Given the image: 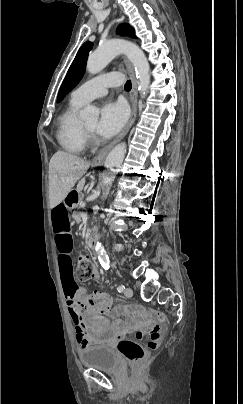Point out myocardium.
Returning <instances> with one entry per match:
<instances>
[{
	"mask_svg": "<svg viewBox=\"0 0 243 404\" xmlns=\"http://www.w3.org/2000/svg\"><path fill=\"white\" fill-rule=\"evenodd\" d=\"M97 34H99V33H97ZM104 43H105V41L102 40V43H101V44L104 45ZM80 128H81L83 134H84L87 138L90 137V136L92 135V133H93V131L88 130V129L84 126L83 123H81Z\"/></svg>",
	"mask_w": 243,
	"mask_h": 404,
	"instance_id": "f54148a6",
	"label": "myocardium"
}]
</instances>
